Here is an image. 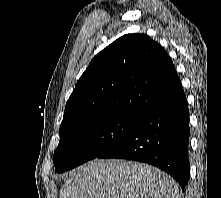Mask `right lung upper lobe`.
I'll return each mask as SVG.
<instances>
[{
  "mask_svg": "<svg viewBox=\"0 0 221 198\" xmlns=\"http://www.w3.org/2000/svg\"><path fill=\"white\" fill-rule=\"evenodd\" d=\"M181 85L157 42L126 34L96 55L68 99L59 134L114 114L141 116Z\"/></svg>",
  "mask_w": 221,
  "mask_h": 198,
  "instance_id": "obj_1",
  "label": "right lung upper lobe"
}]
</instances>
